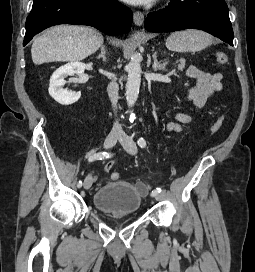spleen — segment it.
<instances>
[{"instance_id":"1","label":"spleen","mask_w":255,"mask_h":272,"mask_svg":"<svg viewBox=\"0 0 255 272\" xmlns=\"http://www.w3.org/2000/svg\"><path fill=\"white\" fill-rule=\"evenodd\" d=\"M211 43V37L199 30L177 31L167 38L166 46L177 52H197Z\"/></svg>"}]
</instances>
